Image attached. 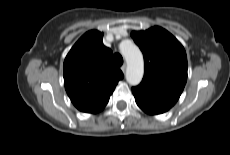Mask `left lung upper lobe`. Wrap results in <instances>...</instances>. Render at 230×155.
Wrapping results in <instances>:
<instances>
[{"label": "left lung upper lobe", "mask_w": 230, "mask_h": 155, "mask_svg": "<svg viewBox=\"0 0 230 155\" xmlns=\"http://www.w3.org/2000/svg\"><path fill=\"white\" fill-rule=\"evenodd\" d=\"M131 37L144 56L145 70L132 93L172 107L187 81V56L181 43L167 30L155 26L133 31Z\"/></svg>", "instance_id": "left-lung-upper-lobe-1"}]
</instances>
